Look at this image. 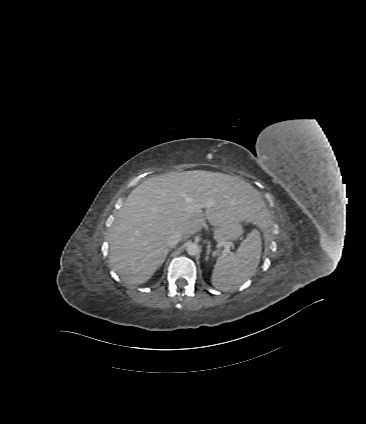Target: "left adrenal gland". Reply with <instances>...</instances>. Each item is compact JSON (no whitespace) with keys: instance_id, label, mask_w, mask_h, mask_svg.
<instances>
[{"instance_id":"a2214340","label":"left adrenal gland","mask_w":366,"mask_h":424,"mask_svg":"<svg viewBox=\"0 0 366 424\" xmlns=\"http://www.w3.org/2000/svg\"><path fill=\"white\" fill-rule=\"evenodd\" d=\"M208 248H207V254H206V260H209V255H210V252H211V245L210 244H208V246H207Z\"/></svg>"}]
</instances>
